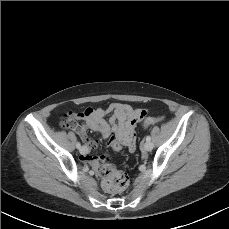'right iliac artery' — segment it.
Here are the masks:
<instances>
[{
    "label": "right iliac artery",
    "instance_id": "right-iliac-artery-1",
    "mask_svg": "<svg viewBox=\"0 0 229 229\" xmlns=\"http://www.w3.org/2000/svg\"><path fill=\"white\" fill-rule=\"evenodd\" d=\"M76 147H77L78 149H80V148H81V144H80L79 142H77V143H76Z\"/></svg>",
    "mask_w": 229,
    "mask_h": 229
}]
</instances>
